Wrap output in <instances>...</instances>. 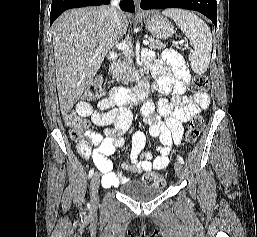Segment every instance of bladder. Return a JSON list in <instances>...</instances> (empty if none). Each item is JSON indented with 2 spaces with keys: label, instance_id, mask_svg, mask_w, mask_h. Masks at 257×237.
<instances>
[{
  "label": "bladder",
  "instance_id": "1",
  "mask_svg": "<svg viewBox=\"0 0 257 237\" xmlns=\"http://www.w3.org/2000/svg\"><path fill=\"white\" fill-rule=\"evenodd\" d=\"M163 192L162 186L150 185L141 181H131L126 185L125 194L137 202H147Z\"/></svg>",
  "mask_w": 257,
  "mask_h": 237
}]
</instances>
